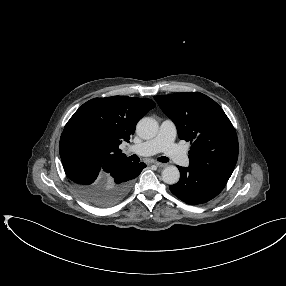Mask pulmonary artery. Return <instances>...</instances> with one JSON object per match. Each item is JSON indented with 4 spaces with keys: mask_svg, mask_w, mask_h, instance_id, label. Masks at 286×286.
I'll return each instance as SVG.
<instances>
[{
    "mask_svg": "<svg viewBox=\"0 0 286 286\" xmlns=\"http://www.w3.org/2000/svg\"><path fill=\"white\" fill-rule=\"evenodd\" d=\"M176 135L177 128L175 123L171 120H164L154 138L133 145L131 150L140 156H151L163 152L176 164L187 166L189 164L188 156L177 144H175Z\"/></svg>",
    "mask_w": 286,
    "mask_h": 286,
    "instance_id": "pulmonary-artery-1",
    "label": "pulmonary artery"
}]
</instances>
